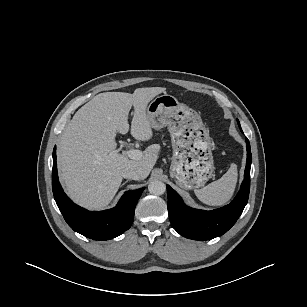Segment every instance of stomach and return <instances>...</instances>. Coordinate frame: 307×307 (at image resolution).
<instances>
[{"mask_svg": "<svg viewBox=\"0 0 307 307\" xmlns=\"http://www.w3.org/2000/svg\"><path fill=\"white\" fill-rule=\"evenodd\" d=\"M151 127H168L173 157L170 174L185 190L206 184L214 171L212 141L201 117L169 94L157 96L147 107Z\"/></svg>", "mask_w": 307, "mask_h": 307, "instance_id": "0dacf381", "label": "stomach"}]
</instances>
